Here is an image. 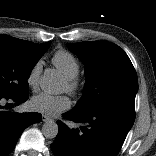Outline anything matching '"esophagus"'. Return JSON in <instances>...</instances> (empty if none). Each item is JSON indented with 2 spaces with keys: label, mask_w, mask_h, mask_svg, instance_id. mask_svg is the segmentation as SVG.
<instances>
[{
  "label": "esophagus",
  "mask_w": 156,
  "mask_h": 156,
  "mask_svg": "<svg viewBox=\"0 0 156 156\" xmlns=\"http://www.w3.org/2000/svg\"><path fill=\"white\" fill-rule=\"evenodd\" d=\"M42 120L43 122H48V121H51L52 119L48 117L47 115H43Z\"/></svg>",
  "instance_id": "34e87169"
}]
</instances>
